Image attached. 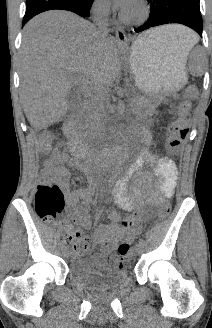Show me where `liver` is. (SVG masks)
<instances>
[{
	"mask_svg": "<svg viewBox=\"0 0 212 328\" xmlns=\"http://www.w3.org/2000/svg\"><path fill=\"white\" fill-rule=\"evenodd\" d=\"M169 40L182 50L194 32L166 25L145 33ZM117 69L116 42L90 22L68 11L52 10L31 19L23 29L19 74L24 113L34 129L66 114L73 84L82 91L113 82Z\"/></svg>",
	"mask_w": 212,
	"mask_h": 328,
	"instance_id": "1",
	"label": "liver"
}]
</instances>
